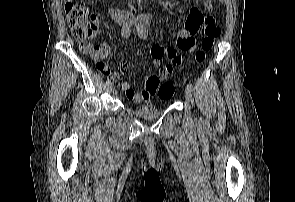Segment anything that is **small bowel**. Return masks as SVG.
<instances>
[{
	"instance_id": "1",
	"label": "small bowel",
	"mask_w": 295,
	"mask_h": 202,
	"mask_svg": "<svg viewBox=\"0 0 295 202\" xmlns=\"http://www.w3.org/2000/svg\"><path fill=\"white\" fill-rule=\"evenodd\" d=\"M204 9L207 12L206 14H204L198 6L191 7L184 28L178 30L175 34L176 47L166 48L161 44H155L151 47L150 53L155 65H160L164 60L166 61V65L160 71L161 78H167L173 68L180 63L181 59L177 53V49L191 51L194 48V36L198 30L203 26L205 27L208 23H215V17L213 15L214 5L212 0L204 1ZM108 14L110 19L121 27V34L125 39L130 38L133 26L137 28L141 39L147 38V26L150 21L149 14H140L135 16L131 10L122 8H111L108 10ZM91 19L96 25L99 17L96 13H92ZM91 49H93V51H91ZM82 51L92 53L96 59H105L110 54V48L103 44L96 46H92L90 44L84 47ZM121 68L125 69L126 63H122ZM99 69L106 73V75L113 82L120 83L127 97L135 104L149 100L155 94V90L144 89L142 91L135 92L129 83L122 82L120 73L111 72L103 65H100ZM153 75L154 74H148L146 79H150Z\"/></svg>"
}]
</instances>
